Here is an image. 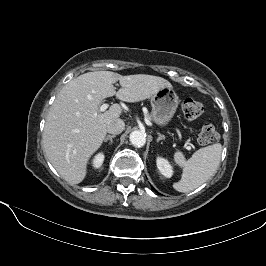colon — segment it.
I'll return each instance as SVG.
<instances>
[{
  "mask_svg": "<svg viewBox=\"0 0 266 266\" xmlns=\"http://www.w3.org/2000/svg\"><path fill=\"white\" fill-rule=\"evenodd\" d=\"M203 105L191 98L184 100L182 104V111L184 116L187 119L194 120L200 117L203 113ZM219 139V134L216 128L211 124L204 125L199 134H198V142L201 145H209L217 142Z\"/></svg>",
  "mask_w": 266,
  "mask_h": 266,
  "instance_id": "1",
  "label": "colon"
}]
</instances>
